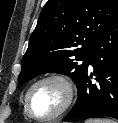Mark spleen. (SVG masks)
Returning <instances> with one entry per match:
<instances>
[{
  "instance_id": "spleen-1",
  "label": "spleen",
  "mask_w": 118,
  "mask_h": 123,
  "mask_svg": "<svg viewBox=\"0 0 118 123\" xmlns=\"http://www.w3.org/2000/svg\"><path fill=\"white\" fill-rule=\"evenodd\" d=\"M85 123H117V122L107 118H89L86 119Z\"/></svg>"
}]
</instances>
